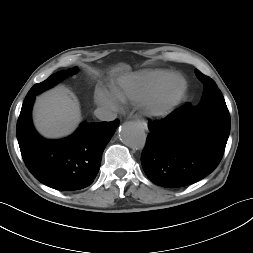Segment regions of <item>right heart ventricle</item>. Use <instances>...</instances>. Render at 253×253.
Here are the masks:
<instances>
[{
    "label": "right heart ventricle",
    "instance_id": "e07e8e85",
    "mask_svg": "<svg viewBox=\"0 0 253 253\" xmlns=\"http://www.w3.org/2000/svg\"><path fill=\"white\" fill-rule=\"evenodd\" d=\"M172 76L174 73L168 70L139 73L114 86L112 96L121 102H141Z\"/></svg>",
    "mask_w": 253,
    "mask_h": 253
}]
</instances>
